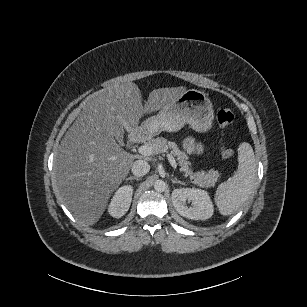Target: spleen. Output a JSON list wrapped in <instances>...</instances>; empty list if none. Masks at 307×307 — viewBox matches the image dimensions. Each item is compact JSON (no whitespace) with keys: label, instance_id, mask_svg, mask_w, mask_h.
Here are the masks:
<instances>
[{"label":"spleen","instance_id":"spleen-1","mask_svg":"<svg viewBox=\"0 0 307 307\" xmlns=\"http://www.w3.org/2000/svg\"><path fill=\"white\" fill-rule=\"evenodd\" d=\"M256 160L250 144L244 142L238 148L237 171L219 185L216 202L224 215H230L245 203L257 186Z\"/></svg>","mask_w":307,"mask_h":307}]
</instances>
